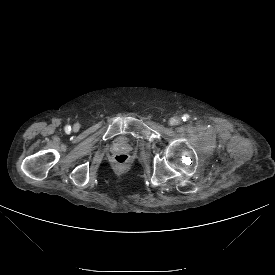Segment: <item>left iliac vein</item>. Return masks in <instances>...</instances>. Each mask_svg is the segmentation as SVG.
<instances>
[{"mask_svg":"<svg viewBox=\"0 0 275 275\" xmlns=\"http://www.w3.org/2000/svg\"><path fill=\"white\" fill-rule=\"evenodd\" d=\"M180 121H181V119H180L179 117H172V118L170 119V124H171V125H177V124L180 123Z\"/></svg>","mask_w":275,"mask_h":275,"instance_id":"1","label":"left iliac vein"}]
</instances>
